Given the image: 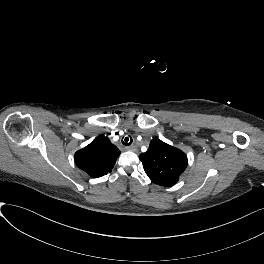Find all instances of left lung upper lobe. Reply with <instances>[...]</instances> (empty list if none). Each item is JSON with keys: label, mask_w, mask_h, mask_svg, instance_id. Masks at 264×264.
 Listing matches in <instances>:
<instances>
[{"label": "left lung upper lobe", "mask_w": 264, "mask_h": 264, "mask_svg": "<svg viewBox=\"0 0 264 264\" xmlns=\"http://www.w3.org/2000/svg\"><path fill=\"white\" fill-rule=\"evenodd\" d=\"M139 158L151 181L164 187L175 185L188 163L186 155L181 150L159 138H154L149 149Z\"/></svg>", "instance_id": "1"}]
</instances>
